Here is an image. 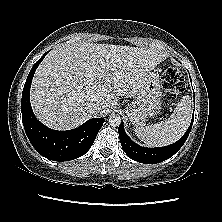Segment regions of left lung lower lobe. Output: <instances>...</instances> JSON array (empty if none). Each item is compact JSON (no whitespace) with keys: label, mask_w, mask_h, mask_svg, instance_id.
<instances>
[{"label":"left lung lower lobe","mask_w":222,"mask_h":222,"mask_svg":"<svg viewBox=\"0 0 222 222\" xmlns=\"http://www.w3.org/2000/svg\"><path fill=\"white\" fill-rule=\"evenodd\" d=\"M193 121H194V115L189 128L187 129L186 133L182 136L180 140H178L174 144L159 148H145L134 143L126 134L123 122H121L118 128V132L122 148L128 157L140 163H145V164L160 163L172 157L182 147V145L185 143L191 131Z\"/></svg>","instance_id":"1"}]
</instances>
